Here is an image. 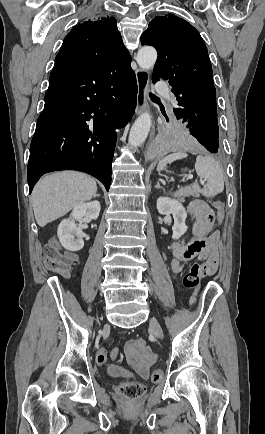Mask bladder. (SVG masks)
Returning a JSON list of instances; mask_svg holds the SVG:
<instances>
[{
	"instance_id": "bladder-1",
	"label": "bladder",
	"mask_w": 265,
	"mask_h": 434,
	"mask_svg": "<svg viewBox=\"0 0 265 434\" xmlns=\"http://www.w3.org/2000/svg\"><path fill=\"white\" fill-rule=\"evenodd\" d=\"M107 373L113 377L129 376V373L118 365H109L106 369Z\"/></svg>"
}]
</instances>
